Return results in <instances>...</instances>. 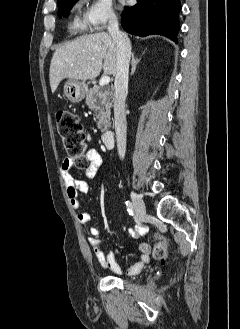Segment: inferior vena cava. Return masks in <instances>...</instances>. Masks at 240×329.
I'll return each mask as SVG.
<instances>
[{"label":"inferior vena cava","instance_id":"602c4592","mask_svg":"<svg viewBox=\"0 0 240 329\" xmlns=\"http://www.w3.org/2000/svg\"><path fill=\"white\" fill-rule=\"evenodd\" d=\"M108 32L116 43L117 62L114 82V118L117 150L120 158L123 159L126 153L127 125L125 115V99L128 92L131 44L127 35L119 30V23L116 16L111 17L108 25Z\"/></svg>","mask_w":240,"mask_h":329}]
</instances>
